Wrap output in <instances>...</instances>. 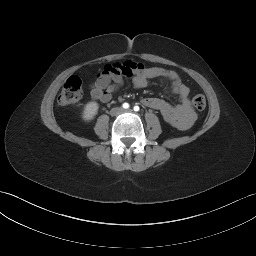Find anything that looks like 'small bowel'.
<instances>
[{"mask_svg": "<svg viewBox=\"0 0 256 256\" xmlns=\"http://www.w3.org/2000/svg\"><path fill=\"white\" fill-rule=\"evenodd\" d=\"M115 67V72L110 74L102 73L91 85L90 96L93 100L102 103L109 102L114 92L123 85V74L131 77L132 83L136 88H145L150 79L162 77L170 82L171 92L179 96L180 103L174 105L160 98L147 97L142 99V104L158 111L168 124L179 130L188 129L193 124L196 115L189 99L190 89L181 81L179 74L175 70L148 67L142 63L131 61H126ZM122 70H127L128 73H124Z\"/></svg>", "mask_w": 256, "mask_h": 256, "instance_id": "obj_1", "label": "small bowel"}]
</instances>
